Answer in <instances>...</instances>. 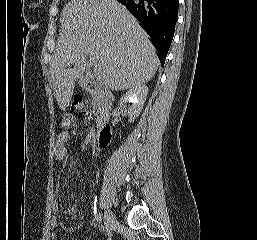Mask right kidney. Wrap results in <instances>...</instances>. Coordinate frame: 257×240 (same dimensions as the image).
Wrapping results in <instances>:
<instances>
[{
    "mask_svg": "<svg viewBox=\"0 0 257 240\" xmlns=\"http://www.w3.org/2000/svg\"><path fill=\"white\" fill-rule=\"evenodd\" d=\"M148 94V87L146 85H140L131 88L120 99V107H126L127 103H130L128 108L129 122H133L140 114L143 105L146 101Z\"/></svg>",
    "mask_w": 257,
    "mask_h": 240,
    "instance_id": "ca27d5eb",
    "label": "right kidney"
}]
</instances>
